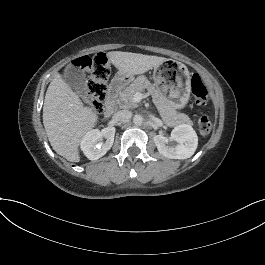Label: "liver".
<instances>
[{
    "label": "liver",
    "instance_id": "6515ba94",
    "mask_svg": "<svg viewBox=\"0 0 265 265\" xmlns=\"http://www.w3.org/2000/svg\"><path fill=\"white\" fill-rule=\"evenodd\" d=\"M106 56L124 77L142 75L167 61L165 57L121 51L107 52ZM42 117L53 150L67 161L79 162L81 142L99 123V111L86 106L57 73L46 91Z\"/></svg>",
    "mask_w": 265,
    "mask_h": 265
}]
</instances>
